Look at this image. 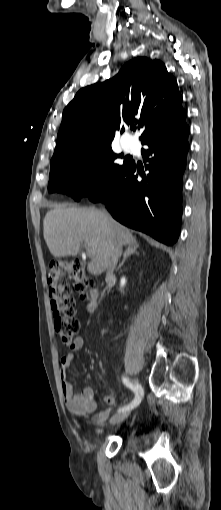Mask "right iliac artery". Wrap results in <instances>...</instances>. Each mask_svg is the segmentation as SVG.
<instances>
[{
    "label": "right iliac artery",
    "instance_id": "right-iliac-artery-1",
    "mask_svg": "<svg viewBox=\"0 0 221 510\" xmlns=\"http://www.w3.org/2000/svg\"><path fill=\"white\" fill-rule=\"evenodd\" d=\"M122 381L124 383V385H126L128 388H130L134 393H135V398L134 400L127 406H124L122 408H120L118 411H127V410H130V409H133L135 408L136 406H138L142 400V397H143V388L142 386L138 383V381H129V379L123 377L122 378Z\"/></svg>",
    "mask_w": 221,
    "mask_h": 510
}]
</instances>
